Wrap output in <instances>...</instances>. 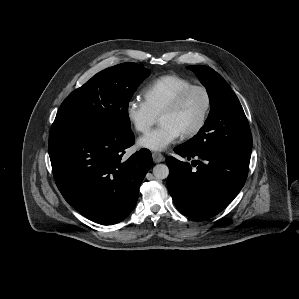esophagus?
I'll return each mask as SVG.
<instances>
[{
    "instance_id": "34e87169",
    "label": "esophagus",
    "mask_w": 299,
    "mask_h": 299,
    "mask_svg": "<svg viewBox=\"0 0 299 299\" xmlns=\"http://www.w3.org/2000/svg\"><path fill=\"white\" fill-rule=\"evenodd\" d=\"M152 157H153V161L155 163H159V162L164 161V156L159 152H153Z\"/></svg>"
}]
</instances>
